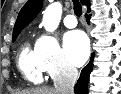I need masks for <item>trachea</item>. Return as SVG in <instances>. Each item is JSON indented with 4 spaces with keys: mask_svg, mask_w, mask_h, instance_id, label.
<instances>
[{
    "mask_svg": "<svg viewBox=\"0 0 121 94\" xmlns=\"http://www.w3.org/2000/svg\"><path fill=\"white\" fill-rule=\"evenodd\" d=\"M74 4V13L77 17H80L82 15V6L78 0H73Z\"/></svg>",
    "mask_w": 121,
    "mask_h": 94,
    "instance_id": "obj_1",
    "label": "trachea"
}]
</instances>
